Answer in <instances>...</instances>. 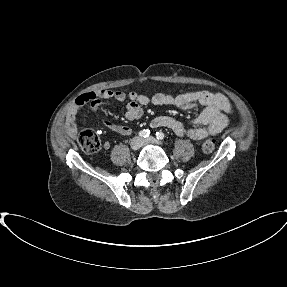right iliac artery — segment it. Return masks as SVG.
<instances>
[{
  "mask_svg": "<svg viewBox=\"0 0 287 287\" xmlns=\"http://www.w3.org/2000/svg\"><path fill=\"white\" fill-rule=\"evenodd\" d=\"M150 135V131L148 129H144L139 132V136L143 138H147Z\"/></svg>",
  "mask_w": 287,
  "mask_h": 287,
  "instance_id": "obj_1",
  "label": "right iliac artery"
}]
</instances>
